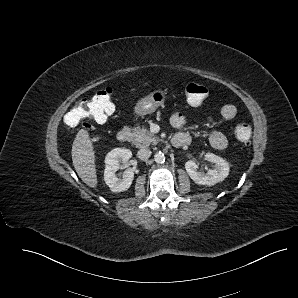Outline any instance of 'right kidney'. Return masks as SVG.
I'll return each mask as SVG.
<instances>
[{
    "label": "right kidney",
    "instance_id": "right-kidney-1",
    "mask_svg": "<svg viewBox=\"0 0 298 298\" xmlns=\"http://www.w3.org/2000/svg\"><path fill=\"white\" fill-rule=\"evenodd\" d=\"M132 152L126 148H114L105 157L104 181L112 192H122L130 188L134 179V171L129 168ZM120 163L127 168L122 178L116 176Z\"/></svg>",
    "mask_w": 298,
    "mask_h": 298
}]
</instances>
